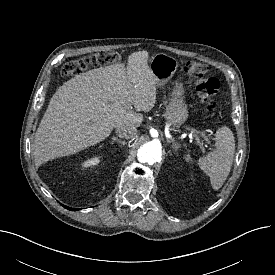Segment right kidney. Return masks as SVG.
<instances>
[{"instance_id":"obj_1","label":"right kidney","mask_w":275,"mask_h":275,"mask_svg":"<svg viewBox=\"0 0 275 275\" xmlns=\"http://www.w3.org/2000/svg\"><path fill=\"white\" fill-rule=\"evenodd\" d=\"M100 162V157H92L83 162V166L88 168L97 165Z\"/></svg>"}]
</instances>
